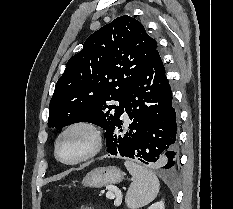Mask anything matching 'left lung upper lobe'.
<instances>
[{
    "label": "left lung upper lobe",
    "mask_w": 233,
    "mask_h": 209,
    "mask_svg": "<svg viewBox=\"0 0 233 209\" xmlns=\"http://www.w3.org/2000/svg\"><path fill=\"white\" fill-rule=\"evenodd\" d=\"M156 51L157 42L127 15L91 34L57 81L48 126L89 122L107 130L122 115L133 82Z\"/></svg>",
    "instance_id": "5c2ea615"
}]
</instances>
